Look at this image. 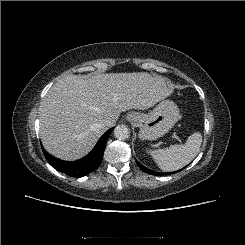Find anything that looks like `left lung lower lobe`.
I'll return each mask as SVG.
<instances>
[{
	"instance_id": "0a47b994",
	"label": "left lung lower lobe",
	"mask_w": 245,
	"mask_h": 245,
	"mask_svg": "<svg viewBox=\"0 0 245 245\" xmlns=\"http://www.w3.org/2000/svg\"><path fill=\"white\" fill-rule=\"evenodd\" d=\"M136 163L138 164V166L144 171L147 172L148 174H153V175H167L168 173H158V172H154L152 170L147 169L146 167H144L143 165H141L137 160ZM174 173V172H173Z\"/></svg>"
}]
</instances>
